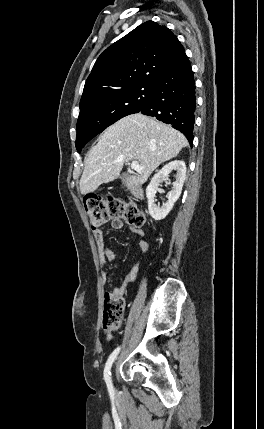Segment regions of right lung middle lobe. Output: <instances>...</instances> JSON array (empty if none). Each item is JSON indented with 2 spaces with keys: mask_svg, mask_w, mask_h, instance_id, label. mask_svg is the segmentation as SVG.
I'll return each mask as SVG.
<instances>
[{
  "mask_svg": "<svg viewBox=\"0 0 264 429\" xmlns=\"http://www.w3.org/2000/svg\"><path fill=\"white\" fill-rule=\"evenodd\" d=\"M153 89L154 84H136L80 105L77 151L81 152L88 141L117 120L138 113L151 97Z\"/></svg>",
  "mask_w": 264,
  "mask_h": 429,
  "instance_id": "1",
  "label": "right lung middle lobe"
}]
</instances>
